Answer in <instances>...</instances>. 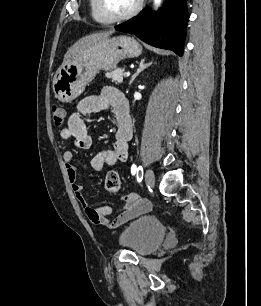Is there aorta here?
I'll use <instances>...</instances> for the list:
<instances>
[{"mask_svg":"<svg viewBox=\"0 0 261 306\" xmlns=\"http://www.w3.org/2000/svg\"><path fill=\"white\" fill-rule=\"evenodd\" d=\"M154 3L156 6H158L161 3V0H154Z\"/></svg>","mask_w":261,"mask_h":306,"instance_id":"aorta-1","label":"aorta"}]
</instances>
